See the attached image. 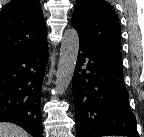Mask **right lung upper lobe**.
<instances>
[{
  "label": "right lung upper lobe",
  "mask_w": 144,
  "mask_h": 137,
  "mask_svg": "<svg viewBox=\"0 0 144 137\" xmlns=\"http://www.w3.org/2000/svg\"><path fill=\"white\" fill-rule=\"evenodd\" d=\"M45 39V20L37 0H12L0 12V63Z\"/></svg>",
  "instance_id": "1"
}]
</instances>
